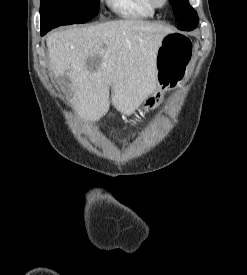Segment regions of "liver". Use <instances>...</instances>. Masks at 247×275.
<instances>
[{
    "label": "liver",
    "instance_id": "6515ba94",
    "mask_svg": "<svg viewBox=\"0 0 247 275\" xmlns=\"http://www.w3.org/2000/svg\"><path fill=\"white\" fill-rule=\"evenodd\" d=\"M173 31L140 19L107 21L48 35L50 66L56 78L68 77L63 91L77 114L96 122L111 102L129 116L157 89L156 55Z\"/></svg>",
    "mask_w": 247,
    "mask_h": 275
}]
</instances>
